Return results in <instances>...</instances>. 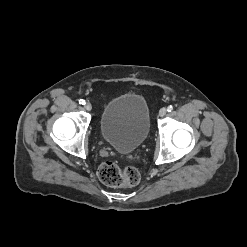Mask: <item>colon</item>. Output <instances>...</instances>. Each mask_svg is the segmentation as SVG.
Wrapping results in <instances>:
<instances>
[{"label": "colon", "mask_w": 247, "mask_h": 247, "mask_svg": "<svg viewBox=\"0 0 247 247\" xmlns=\"http://www.w3.org/2000/svg\"><path fill=\"white\" fill-rule=\"evenodd\" d=\"M100 180L110 187L129 188L138 184L140 174L132 166L121 168L115 162H103L98 170Z\"/></svg>", "instance_id": "obj_1"}]
</instances>
